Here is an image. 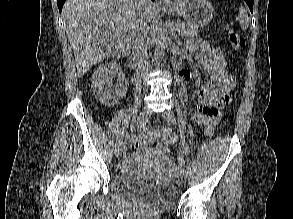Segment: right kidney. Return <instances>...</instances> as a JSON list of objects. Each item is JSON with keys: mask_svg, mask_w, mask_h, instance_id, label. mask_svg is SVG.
I'll return each mask as SVG.
<instances>
[{"mask_svg": "<svg viewBox=\"0 0 293 219\" xmlns=\"http://www.w3.org/2000/svg\"><path fill=\"white\" fill-rule=\"evenodd\" d=\"M117 84L113 85V79ZM128 83L119 65L116 63H105L95 69L92 75V90L97 99L104 104H112L122 97L127 90Z\"/></svg>", "mask_w": 293, "mask_h": 219, "instance_id": "right-kidney-1", "label": "right kidney"}]
</instances>
